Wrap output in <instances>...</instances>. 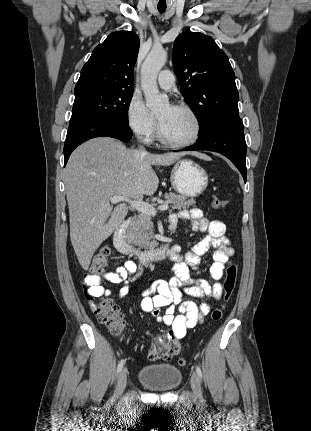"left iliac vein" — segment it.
Returning a JSON list of instances; mask_svg holds the SVG:
<instances>
[{
  "label": "left iliac vein",
  "instance_id": "obj_1",
  "mask_svg": "<svg viewBox=\"0 0 311 431\" xmlns=\"http://www.w3.org/2000/svg\"><path fill=\"white\" fill-rule=\"evenodd\" d=\"M191 387L194 395L199 398L201 396L200 379L197 372H193L191 376Z\"/></svg>",
  "mask_w": 311,
  "mask_h": 431
}]
</instances>
